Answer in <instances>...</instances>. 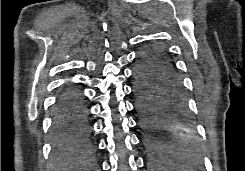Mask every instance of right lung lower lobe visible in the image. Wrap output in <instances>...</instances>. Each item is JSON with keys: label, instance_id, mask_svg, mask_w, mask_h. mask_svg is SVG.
Segmentation results:
<instances>
[{"label": "right lung lower lobe", "instance_id": "1", "mask_svg": "<svg viewBox=\"0 0 245 171\" xmlns=\"http://www.w3.org/2000/svg\"><path fill=\"white\" fill-rule=\"evenodd\" d=\"M52 137L54 155L65 157L75 149L86 148L91 140L88 106L81 90L66 84L54 108Z\"/></svg>", "mask_w": 245, "mask_h": 171}]
</instances>
